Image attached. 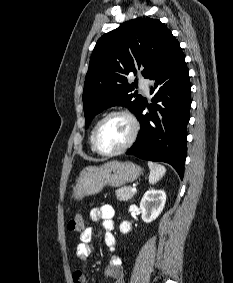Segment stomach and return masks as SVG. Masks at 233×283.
I'll return each mask as SVG.
<instances>
[{"mask_svg": "<svg viewBox=\"0 0 233 283\" xmlns=\"http://www.w3.org/2000/svg\"><path fill=\"white\" fill-rule=\"evenodd\" d=\"M141 174L142 168L132 162L113 160L101 166H88L80 172L72 198L81 200L85 196L98 194L105 186H123L134 182Z\"/></svg>", "mask_w": 233, "mask_h": 283, "instance_id": "stomach-1", "label": "stomach"}]
</instances>
